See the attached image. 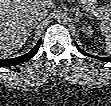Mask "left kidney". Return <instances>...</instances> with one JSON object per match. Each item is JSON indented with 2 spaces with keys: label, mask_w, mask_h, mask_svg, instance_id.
I'll list each match as a JSON object with an SVG mask.
<instances>
[{
  "label": "left kidney",
  "mask_w": 111,
  "mask_h": 106,
  "mask_svg": "<svg viewBox=\"0 0 111 106\" xmlns=\"http://www.w3.org/2000/svg\"><path fill=\"white\" fill-rule=\"evenodd\" d=\"M82 32L85 35H87L88 37H91L94 31L92 30L91 26H83L82 27Z\"/></svg>",
  "instance_id": "left-kidney-1"
}]
</instances>
